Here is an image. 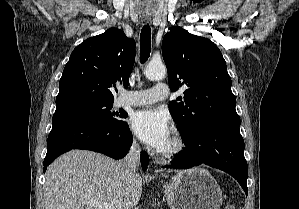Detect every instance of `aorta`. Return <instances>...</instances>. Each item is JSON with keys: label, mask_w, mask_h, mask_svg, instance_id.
Returning a JSON list of instances; mask_svg holds the SVG:
<instances>
[{"label": "aorta", "mask_w": 299, "mask_h": 209, "mask_svg": "<svg viewBox=\"0 0 299 209\" xmlns=\"http://www.w3.org/2000/svg\"><path fill=\"white\" fill-rule=\"evenodd\" d=\"M166 67L162 63H149L146 70L145 75L149 80L156 81L162 80L166 76Z\"/></svg>", "instance_id": "obj_1"}]
</instances>
